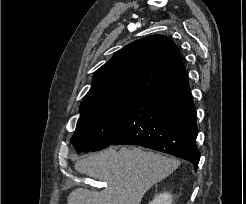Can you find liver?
Masks as SVG:
<instances>
[{
  "instance_id": "1",
  "label": "liver",
  "mask_w": 246,
  "mask_h": 204,
  "mask_svg": "<svg viewBox=\"0 0 246 204\" xmlns=\"http://www.w3.org/2000/svg\"><path fill=\"white\" fill-rule=\"evenodd\" d=\"M180 165L174 158L139 147H110L75 163V170L107 182L102 191L73 190L67 204H140L144 194Z\"/></svg>"
}]
</instances>
